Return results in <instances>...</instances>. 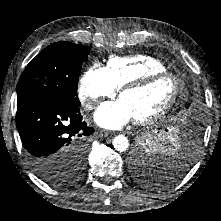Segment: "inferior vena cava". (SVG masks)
<instances>
[{"label":"inferior vena cava","mask_w":221,"mask_h":221,"mask_svg":"<svg viewBox=\"0 0 221 221\" xmlns=\"http://www.w3.org/2000/svg\"><path fill=\"white\" fill-rule=\"evenodd\" d=\"M93 106H94L93 103H87V104H86V109L92 110V109H93Z\"/></svg>","instance_id":"obj_1"}]
</instances>
